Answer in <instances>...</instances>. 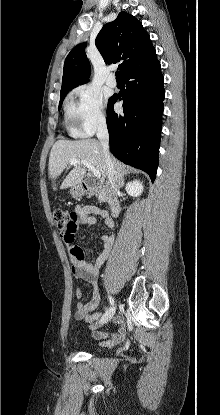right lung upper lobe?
I'll use <instances>...</instances> for the list:
<instances>
[{
  "label": "right lung upper lobe",
  "mask_w": 220,
  "mask_h": 415,
  "mask_svg": "<svg viewBox=\"0 0 220 415\" xmlns=\"http://www.w3.org/2000/svg\"><path fill=\"white\" fill-rule=\"evenodd\" d=\"M95 44L106 64L120 63L122 76L142 69L156 59V51L140 21L126 12L105 24ZM82 43L74 47L64 62L61 93L88 82L90 63Z\"/></svg>",
  "instance_id": "obj_1"
}]
</instances>
